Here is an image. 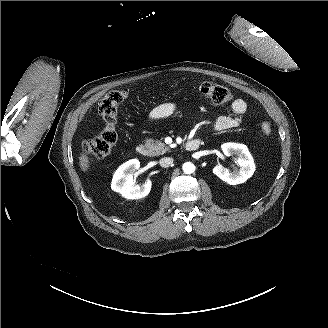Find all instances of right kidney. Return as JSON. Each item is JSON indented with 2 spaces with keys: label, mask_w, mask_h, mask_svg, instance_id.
<instances>
[{
  "label": "right kidney",
  "mask_w": 328,
  "mask_h": 328,
  "mask_svg": "<svg viewBox=\"0 0 328 328\" xmlns=\"http://www.w3.org/2000/svg\"><path fill=\"white\" fill-rule=\"evenodd\" d=\"M140 162L137 159L129 160L122 164L113 176L111 188L126 199H142L146 197L152 188V180L147 178L141 187H134L133 174L139 169Z\"/></svg>",
  "instance_id": "right-kidney-1"
}]
</instances>
